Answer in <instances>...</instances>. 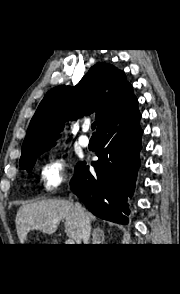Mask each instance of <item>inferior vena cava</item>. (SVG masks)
Here are the masks:
<instances>
[{
    "mask_svg": "<svg viewBox=\"0 0 180 294\" xmlns=\"http://www.w3.org/2000/svg\"><path fill=\"white\" fill-rule=\"evenodd\" d=\"M75 206L81 218V231H82L83 244H89V239L91 234V222H90L89 216L86 214L84 209L78 203H76Z\"/></svg>",
    "mask_w": 180,
    "mask_h": 294,
    "instance_id": "1",
    "label": "inferior vena cava"
}]
</instances>
